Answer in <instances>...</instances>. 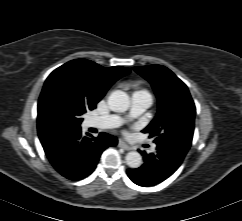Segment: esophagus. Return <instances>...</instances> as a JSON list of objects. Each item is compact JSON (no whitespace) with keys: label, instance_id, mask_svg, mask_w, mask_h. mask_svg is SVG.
Wrapping results in <instances>:
<instances>
[{"label":"esophagus","instance_id":"34e87169","mask_svg":"<svg viewBox=\"0 0 242 221\" xmlns=\"http://www.w3.org/2000/svg\"><path fill=\"white\" fill-rule=\"evenodd\" d=\"M118 146H119L120 148L125 149V150H132V149H133V147L127 145V144H126L125 142H123L122 140H120V141L118 142Z\"/></svg>","mask_w":242,"mask_h":221}]
</instances>
